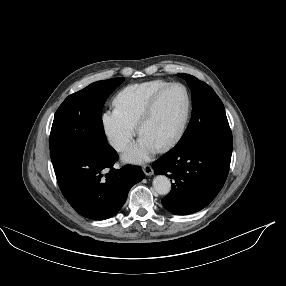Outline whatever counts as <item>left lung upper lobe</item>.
I'll list each match as a JSON object with an SVG mask.
<instances>
[{
	"label": "left lung upper lobe",
	"mask_w": 286,
	"mask_h": 286,
	"mask_svg": "<svg viewBox=\"0 0 286 286\" xmlns=\"http://www.w3.org/2000/svg\"><path fill=\"white\" fill-rule=\"evenodd\" d=\"M184 78L192 92V118L176 149L202 143H232V133L222 101L206 83L189 74Z\"/></svg>",
	"instance_id": "obj_1"
}]
</instances>
